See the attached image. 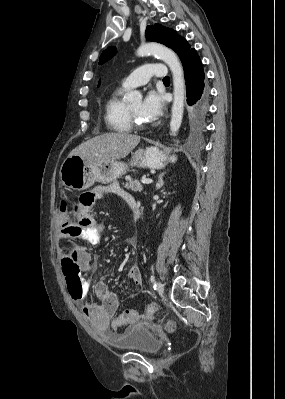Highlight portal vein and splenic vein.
<instances>
[{
    "instance_id": "18ae733b",
    "label": "portal vein and splenic vein",
    "mask_w": 285,
    "mask_h": 399,
    "mask_svg": "<svg viewBox=\"0 0 285 399\" xmlns=\"http://www.w3.org/2000/svg\"><path fill=\"white\" fill-rule=\"evenodd\" d=\"M152 182H153L152 179H144V180H142L143 184H151Z\"/></svg>"
}]
</instances>
